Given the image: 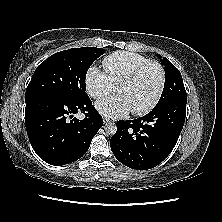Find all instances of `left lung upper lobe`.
<instances>
[{"instance_id": "obj_1", "label": "left lung upper lobe", "mask_w": 222, "mask_h": 222, "mask_svg": "<svg viewBox=\"0 0 222 222\" xmlns=\"http://www.w3.org/2000/svg\"><path fill=\"white\" fill-rule=\"evenodd\" d=\"M161 59V55H158ZM166 74L164 89L156 106L172 100L187 101V94L180 71L167 59H161Z\"/></svg>"}]
</instances>
